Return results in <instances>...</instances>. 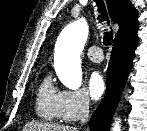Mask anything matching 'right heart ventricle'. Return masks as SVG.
<instances>
[{
	"mask_svg": "<svg viewBox=\"0 0 147 131\" xmlns=\"http://www.w3.org/2000/svg\"><path fill=\"white\" fill-rule=\"evenodd\" d=\"M60 91L55 87L49 75L39 84L36 92L35 110L39 117L45 120L58 119L57 103Z\"/></svg>",
	"mask_w": 147,
	"mask_h": 131,
	"instance_id": "e07e8e85",
	"label": "right heart ventricle"
}]
</instances>
